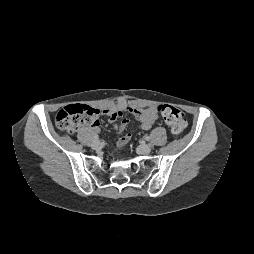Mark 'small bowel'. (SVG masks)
<instances>
[{
  "label": "small bowel",
  "mask_w": 254,
  "mask_h": 254,
  "mask_svg": "<svg viewBox=\"0 0 254 254\" xmlns=\"http://www.w3.org/2000/svg\"><path fill=\"white\" fill-rule=\"evenodd\" d=\"M98 112L99 114L106 116L111 123L120 119L118 124V130L120 132L126 128L129 122L128 119L122 118L123 114L126 112L131 113L139 121V129L141 130H149L158 118L153 107H141L136 104L130 105L125 100H119L115 105L98 110ZM99 125L100 123L98 120L91 124L95 131H99ZM122 138L129 141L131 139V134H126Z\"/></svg>",
  "instance_id": "small-bowel-1"
}]
</instances>
